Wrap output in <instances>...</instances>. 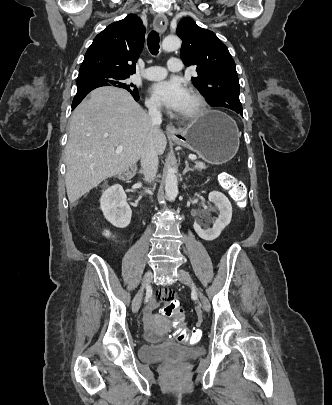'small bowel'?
Instances as JSON below:
<instances>
[{"label": "small bowel", "mask_w": 332, "mask_h": 405, "mask_svg": "<svg viewBox=\"0 0 332 405\" xmlns=\"http://www.w3.org/2000/svg\"><path fill=\"white\" fill-rule=\"evenodd\" d=\"M158 296L159 297H173L174 296V289L173 288H159L158 289ZM172 299V298H166ZM158 303L156 300H151L146 308L145 313V320L148 324H150L153 320L152 312L157 308ZM184 321H182L183 323ZM149 342H153V344H167L168 337L167 335H153V337H149Z\"/></svg>", "instance_id": "small-bowel-1"}]
</instances>
